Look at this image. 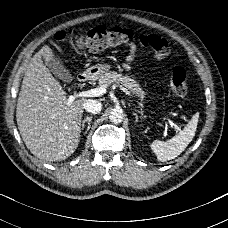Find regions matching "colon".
<instances>
[{"label":"colon","mask_w":228,"mask_h":228,"mask_svg":"<svg viewBox=\"0 0 228 228\" xmlns=\"http://www.w3.org/2000/svg\"><path fill=\"white\" fill-rule=\"evenodd\" d=\"M54 40L74 43L79 48L96 51L131 42L134 40V34L129 28L106 29L103 26H96L80 33L73 29L59 31L54 35ZM147 40L159 58L168 59L171 56V49L165 39L158 35H150ZM171 86L177 96L187 94L186 73L183 68H174Z\"/></svg>","instance_id":"5ec220e1"}]
</instances>
